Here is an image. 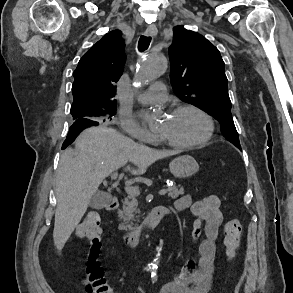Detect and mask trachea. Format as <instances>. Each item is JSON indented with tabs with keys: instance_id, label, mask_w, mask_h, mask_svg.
<instances>
[{
	"instance_id": "obj_1",
	"label": "trachea",
	"mask_w": 293,
	"mask_h": 293,
	"mask_svg": "<svg viewBox=\"0 0 293 293\" xmlns=\"http://www.w3.org/2000/svg\"><path fill=\"white\" fill-rule=\"evenodd\" d=\"M151 42V37L149 36H141L138 42V49L139 51H144L146 50Z\"/></svg>"
}]
</instances>
